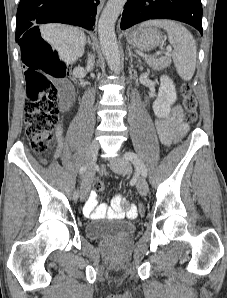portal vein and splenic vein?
<instances>
[{
    "instance_id": "1",
    "label": "portal vein and splenic vein",
    "mask_w": 227,
    "mask_h": 298,
    "mask_svg": "<svg viewBox=\"0 0 227 298\" xmlns=\"http://www.w3.org/2000/svg\"><path fill=\"white\" fill-rule=\"evenodd\" d=\"M171 51H172V48L170 46H168L167 47V52L170 53ZM150 59H153V58H151V57L150 58L145 57V60H150Z\"/></svg>"
}]
</instances>
